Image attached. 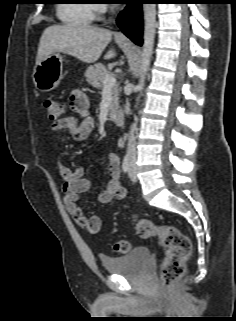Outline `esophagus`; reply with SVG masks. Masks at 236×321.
<instances>
[{"label": "esophagus", "mask_w": 236, "mask_h": 321, "mask_svg": "<svg viewBox=\"0 0 236 321\" xmlns=\"http://www.w3.org/2000/svg\"><path fill=\"white\" fill-rule=\"evenodd\" d=\"M119 38H123L124 36L123 35H118Z\"/></svg>", "instance_id": "1"}]
</instances>
